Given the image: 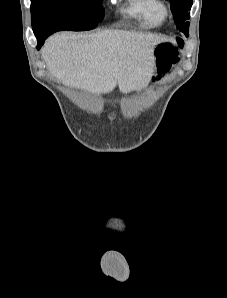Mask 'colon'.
<instances>
[{
  "label": "colon",
  "instance_id": "obj_1",
  "mask_svg": "<svg viewBox=\"0 0 227 298\" xmlns=\"http://www.w3.org/2000/svg\"><path fill=\"white\" fill-rule=\"evenodd\" d=\"M183 43L180 39L159 43L155 48V64L158 77L167 73L179 61Z\"/></svg>",
  "mask_w": 227,
  "mask_h": 298
}]
</instances>
